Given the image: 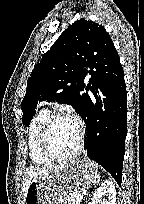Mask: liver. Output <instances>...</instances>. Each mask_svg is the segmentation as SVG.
I'll return each mask as SVG.
<instances>
[{"label":"liver","mask_w":144,"mask_h":204,"mask_svg":"<svg viewBox=\"0 0 144 204\" xmlns=\"http://www.w3.org/2000/svg\"><path fill=\"white\" fill-rule=\"evenodd\" d=\"M62 166L63 164L44 167L37 166L27 169L22 179V190L24 192V197L26 195L27 187L32 181H35L40 178H45L50 174L58 171Z\"/></svg>","instance_id":"1"}]
</instances>
